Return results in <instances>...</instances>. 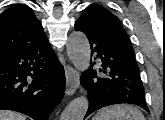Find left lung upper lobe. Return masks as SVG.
Here are the masks:
<instances>
[{"instance_id": "obj_1", "label": "left lung upper lobe", "mask_w": 165, "mask_h": 120, "mask_svg": "<svg viewBox=\"0 0 165 120\" xmlns=\"http://www.w3.org/2000/svg\"><path fill=\"white\" fill-rule=\"evenodd\" d=\"M77 21L95 36L135 61V53L130 45L128 34L123 30L118 17L109 10L101 5L91 4Z\"/></svg>"}]
</instances>
